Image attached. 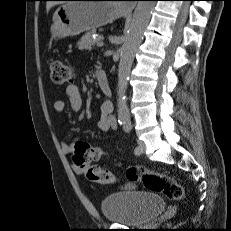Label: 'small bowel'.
Masks as SVG:
<instances>
[{
	"mask_svg": "<svg viewBox=\"0 0 231 231\" xmlns=\"http://www.w3.org/2000/svg\"><path fill=\"white\" fill-rule=\"evenodd\" d=\"M66 96L69 100L70 106L74 111H79L82 108V97L79 88L75 84H70L65 89ZM66 108V103L63 100H56L54 102V109L57 113H63ZM101 118L98 121V128L101 131L107 132L110 130H116L118 123L113 112V104L110 100L105 99L100 107ZM62 150L65 154L70 155L73 152V141L65 140L61 143ZM75 172L83 174L86 172L84 168L74 166ZM130 187H134V184H129Z\"/></svg>",
	"mask_w": 231,
	"mask_h": 231,
	"instance_id": "c3829d8e",
	"label": "small bowel"
}]
</instances>
